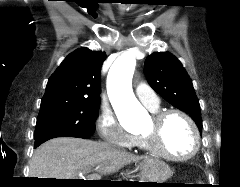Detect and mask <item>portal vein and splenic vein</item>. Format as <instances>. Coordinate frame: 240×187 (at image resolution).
<instances>
[{
    "label": "portal vein and splenic vein",
    "instance_id": "1",
    "mask_svg": "<svg viewBox=\"0 0 240 187\" xmlns=\"http://www.w3.org/2000/svg\"><path fill=\"white\" fill-rule=\"evenodd\" d=\"M91 177H94L95 180H99L100 179V177L97 176V175H92Z\"/></svg>",
    "mask_w": 240,
    "mask_h": 187
}]
</instances>
